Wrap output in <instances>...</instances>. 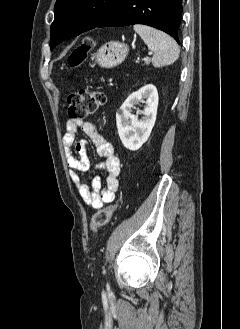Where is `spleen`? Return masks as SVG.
I'll use <instances>...</instances> for the list:
<instances>
[{
    "label": "spleen",
    "instance_id": "obj_1",
    "mask_svg": "<svg viewBox=\"0 0 240 329\" xmlns=\"http://www.w3.org/2000/svg\"><path fill=\"white\" fill-rule=\"evenodd\" d=\"M134 30L154 52L152 57L154 67L170 65L179 58L180 49L177 43L166 33L141 24L134 25Z\"/></svg>",
    "mask_w": 240,
    "mask_h": 329
}]
</instances>
